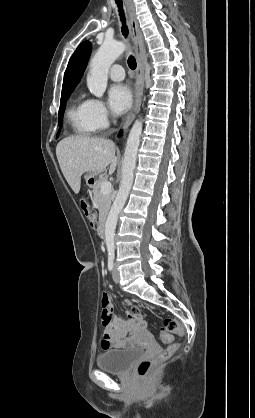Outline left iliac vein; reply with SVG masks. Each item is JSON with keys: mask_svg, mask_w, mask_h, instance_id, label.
<instances>
[{"mask_svg": "<svg viewBox=\"0 0 255 418\" xmlns=\"http://www.w3.org/2000/svg\"><path fill=\"white\" fill-rule=\"evenodd\" d=\"M112 278L115 283H117L120 280L119 271L116 265L114 266V269H113Z\"/></svg>", "mask_w": 255, "mask_h": 418, "instance_id": "obj_1", "label": "left iliac vein"}]
</instances>
